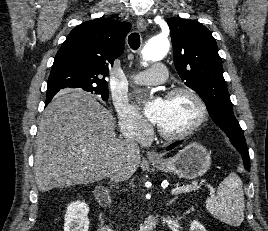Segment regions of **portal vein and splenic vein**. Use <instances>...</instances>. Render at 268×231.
<instances>
[{"instance_id": "obj_1", "label": "portal vein and splenic vein", "mask_w": 268, "mask_h": 231, "mask_svg": "<svg viewBox=\"0 0 268 231\" xmlns=\"http://www.w3.org/2000/svg\"><path fill=\"white\" fill-rule=\"evenodd\" d=\"M195 188L194 186H180L172 189L171 194H180L183 192H188L189 190H192Z\"/></svg>"}]
</instances>
